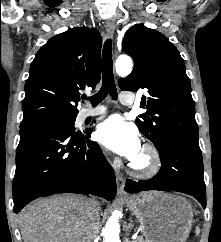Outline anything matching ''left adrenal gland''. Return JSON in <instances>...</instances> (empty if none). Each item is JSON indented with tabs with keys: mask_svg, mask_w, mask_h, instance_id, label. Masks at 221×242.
Returning <instances> with one entry per match:
<instances>
[{
	"mask_svg": "<svg viewBox=\"0 0 221 242\" xmlns=\"http://www.w3.org/2000/svg\"><path fill=\"white\" fill-rule=\"evenodd\" d=\"M133 220L131 219L130 220V223H129V225H128V228H129V231H128V234L127 235H129V233H130V228L133 226ZM130 242V241H129Z\"/></svg>",
	"mask_w": 221,
	"mask_h": 242,
	"instance_id": "1",
	"label": "left adrenal gland"
}]
</instances>
